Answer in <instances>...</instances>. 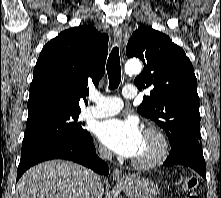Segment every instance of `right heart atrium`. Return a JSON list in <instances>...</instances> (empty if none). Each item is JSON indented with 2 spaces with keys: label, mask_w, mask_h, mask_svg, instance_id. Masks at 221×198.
<instances>
[{
  "label": "right heart atrium",
  "mask_w": 221,
  "mask_h": 198,
  "mask_svg": "<svg viewBox=\"0 0 221 198\" xmlns=\"http://www.w3.org/2000/svg\"><path fill=\"white\" fill-rule=\"evenodd\" d=\"M99 155L103 158H109L110 152L108 149H106L104 146H100L98 149Z\"/></svg>",
  "instance_id": "1"
}]
</instances>
